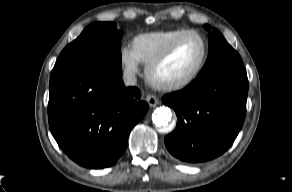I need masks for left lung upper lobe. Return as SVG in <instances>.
I'll return each mask as SVG.
<instances>
[{
    "mask_svg": "<svg viewBox=\"0 0 292 192\" xmlns=\"http://www.w3.org/2000/svg\"><path fill=\"white\" fill-rule=\"evenodd\" d=\"M209 31V54L207 61L197 77L228 70H245L239 54L227 43L215 28L204 26Z\"/></svg>",
    "mask_w": 292,
    "mask_h": 192,
    "instance_id": "obj_1",
    "label": "left lung upper lobe"
}]
</instances>
